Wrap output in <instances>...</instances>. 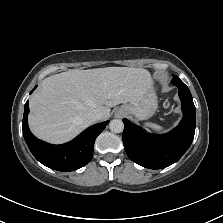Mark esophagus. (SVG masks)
I'll return each mask as SVG.
<instances>
[{"instance_id":"1","label":"esophagus","mask_w":223,"mask_h":223,"mask_svg":"<svg viewBox=\"0 0 223 223\" xmlns=\"http://www.w3.org/2000/svg\"><path fill=\"white\" fill-rule=\"evenodd\" d=\"M116 113L117 114H123L124 112H123V109L120 107V108L117 109Z\"/></svg>"}]
</instances>
